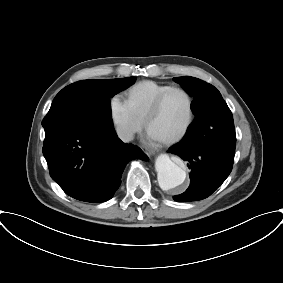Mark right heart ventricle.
<instances>
[{
    "instance_id": "1",
    "label": "right heart ventricle",
    "mask_w": 283,
    "mask_h": 283,
    "mask_svg": "<svg viewBox=\"0 0 283 283\" xmlns=\"http://www.w3.org/2000/svg\"><path fill=\"white\" fill-rule=\"evenodd\" d=\"M170 86L153 80L140 81L125 92V101L134 116L139 121L144 122L155 99Z\"/></svg>"
}]
</instances>
